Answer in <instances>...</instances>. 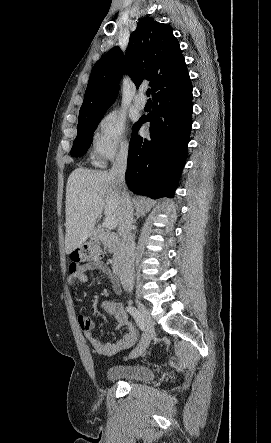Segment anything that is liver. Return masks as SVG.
Masks as SVG:
<instances>
[{
    "mask_svg": "<svg viewBox=\"0 0 271 443\" xmlns=\"http://www.w3.org/2000/svg\"><path fill=\"white\" fill-rule=\"evenodd\" d=\"M65 204L66 253L90 237L102 212L113 216L118 225L121 220L120 192L109 172L76 168L67 180Z\"/></svg>",
    "mask_w": 271,
    "mask_h": 443,
    "instance_id": "obj_1",
    "label": "liver"
}]
</instances>
